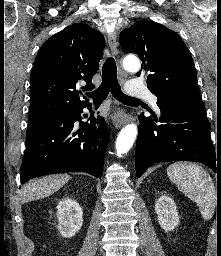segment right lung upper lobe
<instances>
[{
  "mask_svg": "<svg viewBox=\"0 0 221 256\" xmlns=\"http://www.w3.org/2000/svg\"><path fill=\"white\" fill-rule=\"evenodd\" d=\"M105 41L103 35L88 25L76 23L54 34L41 47L32 69L29 117L46 118L89 104L81 101L83 90L93 89L92 77L99 69Z\"/></svg>",
  "mask_w": 221,
  "mask_h": 256,
  "instance_id": "obj_1",
  "label": "right lung upper lobe"
}]
</instances>
